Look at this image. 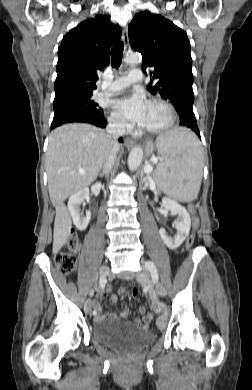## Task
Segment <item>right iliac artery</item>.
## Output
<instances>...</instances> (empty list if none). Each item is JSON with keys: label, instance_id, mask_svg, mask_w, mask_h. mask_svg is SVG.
Returning a JSON list of instances; mask_svg holds the SVG:
<instances>
[{"label": "right iliac artery", "instance_id": "1", "mask_svg": "<svg viewBox=\"0 0 252 390\" xmlns=\"http://www.w3.org/2000/svg\"><path fill=\"white\" fill-rule=\"evenodd\" d=\"M100 280H101V283H100L101 289H104V286H105V283H106V277L105 276H101ZM92 315L93 316H97L98 312L97 311H93Z\"/></svg>", "mask_w": 252, "mask_h": 390}]
</instances>
